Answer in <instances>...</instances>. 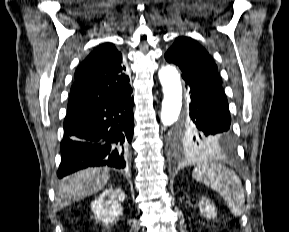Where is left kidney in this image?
<instances>
[{
  "label": "left kidney",
  "mask_w": 289,
  "mask_h": 232,
  "mask_svg": "<svg viewBox=\"0 0 289 232\" xmlns=\"http://www.w3.org/2000/svg\"><path fill=\"white\" fill-rule=\"evenodd\" d=\"M199 209L200 213L207 218H215L216 217V208L214 204L210 201V199L206 197H202L199 201Z\"/></svg>",
  "instance_id": "1"
}]
</instances>
